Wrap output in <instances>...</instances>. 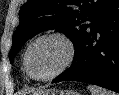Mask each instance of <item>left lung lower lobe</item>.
<instances>
[{
	"instance_id": "1",
	"label": "left lung lower lobe",
	"mask_w": 119,
	"mask_h": 95,
	"mask_svg": "<svg viewBox=\"0 0 119 95\" xmlns=\"http://www.w3.org/2000/svg\"><path fill=\"white\" fill-rule=\"evenodd\" d=\"M67 80L119 93V0H110L99 11L75 50L71 67L52 83Z\"/></svg>"
}]
</instances>
